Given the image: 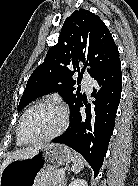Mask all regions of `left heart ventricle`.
Returning a JSON list of instances; mask_svg holds the SVG:
<instances>
[{"mask_svg":"<svg viewBox=\"0 0 138 186\" xmlns=\"http://www.w3.org/2000/svg\"><path fill=\"white\" fill-rule=\"evenodd\" d=\"M62 123V113L53 106L33 109L23 121L21 132L26 139L40 138L56 131Z\"/></svg>","mask_w":138,"mask_h":186,"instance_id":"obj_1","label":"left heart ventricle"}]
</instances>
